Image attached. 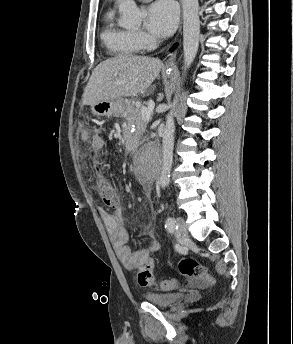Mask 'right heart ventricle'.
Returning <instances> with one entry per match:
<instances>
[{"label": "right heart ventricle", "mask_w": 293, "mask_h": 344, "mask_svg": "<svg viewBox=\"0 0 293 344\" xmlns=\"http://www.w3.org/2000/svg\"><path fill=\"white\" fill-rule=\"evenodd\" d=\"M101 39L107 49L117 56H135L141 51L134 40L133 32L116 23L112 9H108L104 14Z\"/></svg>", "instance_id": "obj_1"}]
</instances>
